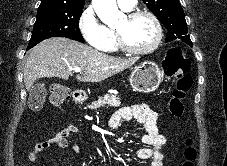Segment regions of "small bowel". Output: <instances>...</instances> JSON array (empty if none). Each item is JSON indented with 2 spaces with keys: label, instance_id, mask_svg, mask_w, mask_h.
Returning a JSON list of instances; mask_svg holds the SVG:
<instances>
[{
  "label": "small bowel",
  "instance_id": "c3829d8e",
  "mask_svg": "<svg viewBox=\"0 0 227 166\" xmlns=\"http://www.w3.org/2000/svg\"><path fill=\"white\" fill-rule=\"evenodd\" d=\"M136 119L144 126L145 133L141 140L146 146L139 149L137 155L142 160H150V166H163L162 148L166 143V139L158 131L157 120L158 113L147 104H133L124 106L116 111L110 119L112 127H117L123 121ZM78 131L74 125H68L61 129L52 138L37 143L34 149L29 152L28 159L32 162L37 161L39 154L52 147L65 149L69 147V138ZM75 155L80 154L78 145L71 146ZM34 166H37L36 164Z\"/></svg>",
  "mask_w": 227,
  "mask_h": 166
}]
</instances>
